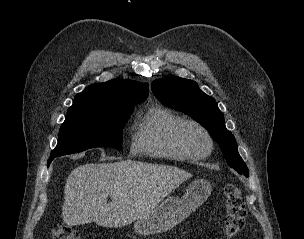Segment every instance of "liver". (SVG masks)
<instances>
[{
  "label": "liver",
  "mask_w": 304,
  "mask_h": 239,
  "mask_svg": "<svg viewBox=\"0 0 304 239\" xmlns=\"http://www.w3.org/2000/svg\"><path fill=\"white\" fill-rule=\"evenodd\" d=\"M191 177L174 166L130 159L80 165L66 179L62 218L69 226L91 222L110 228L126 226L150 213Z\"/></svg>",
  "instance_id": "obj_1"
}]
</instances>
